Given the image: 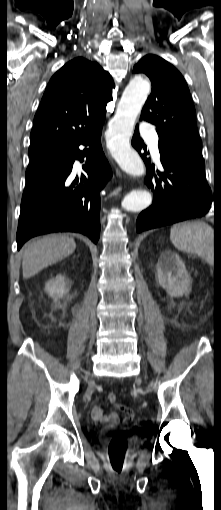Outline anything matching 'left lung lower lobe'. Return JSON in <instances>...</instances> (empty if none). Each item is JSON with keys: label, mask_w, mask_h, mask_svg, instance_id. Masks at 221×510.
<instances>
[{"label": "left lung lower lobe", "mask_w": 221, "mask_h": 510, "mask_svg": "<svg viewBox=\"0 0 221 510\" xmlns=\"http://www.w3.org/2000/svg\"><path fill=\"white\" fill-rule=\"evenodd\" d=\"M132 146L147 166L146 184L154 192L152 205L137 218V232L202 217L209 212L211 189L205 179V166L159 148L164 171L158 172L160 178H157L152 176L154 167H151L150 159L146 158V147L139 136L138 126L135 128ZM142 149L145 150L143 154Z\"/></svg>", "instance_id": "obj_1"}]
</instances>
